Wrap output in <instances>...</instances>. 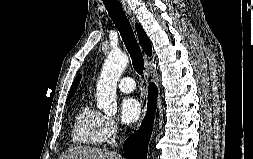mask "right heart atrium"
Wrapping results in <instances>:
<instances>
[{"label":"right heart atrium","mask_w":253,"mask_h":159,"mask_svg":"<svg viewBox=\"0 0 253 159\" xmlns=\"http://www.w3.org/2000/svg\"><path fill=\"white\" fill-rule=\"evenodd\" d=\"M119 132L117 121L109 116H103V140L106 143L112 142Z\"/></svg>","instance_id":"obj_1"}]
</instances>
